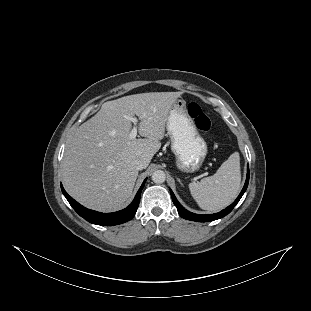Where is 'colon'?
<instances>
[{"mask_svg":"<svg viewBox=\"0 0 311 311\" xmlns=\"http://www.w3.org/2000/svg\"><path fill=\"white\" fill-rule=\"evenodd\" d=\"M187 112L199 130L203 132H209L211 130L212 121L198 103H189L187 105Z\"/></svg>","mask_w":311,"mask_h":311,"instance_id":"5ec220e1","label":"colon"}]
</instances>
